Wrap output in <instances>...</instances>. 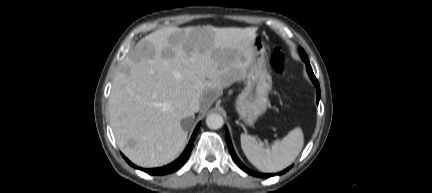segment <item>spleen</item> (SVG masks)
Here are the masks:
<instances>
[{"instance_id": "obj_1", "label": "spleen", "mask_w": 432, "mask_h": 193, "mask_svg": "<svg viewBox=\"0 0 432 193\" xmlns=\"http://www.w3.org/2000/svg\"><path fill=\"white\" fill-rule=\"evenodd\" d=\"M241 147L249 160L258 170L274 173L290 166L301 152L304 136L300 128H294L281 140L269 147H262L251 135L241 134Z\"/></svg>"}]
</instances>
